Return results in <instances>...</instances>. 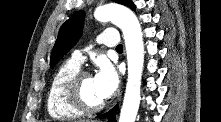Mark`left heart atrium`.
Here are the masks:
<instances>
[{
    "mask_svg": "<svg viewBox=\"0 0 221 122\" xmlns=\"http://www.w3.org/2000/svg\"><path fill=\"white\" fill-rule=\"evenodd\" d=\"M96 90L103 100L110 98L118 88L119 77L113 65L107 60H101L93 77Z\"/></svg>",
    "mask_w": 221,
    "mask_h": 122,
    "instance_id": "39dd6f15",
    "label": "left heart atrium"
}]
</instances>
